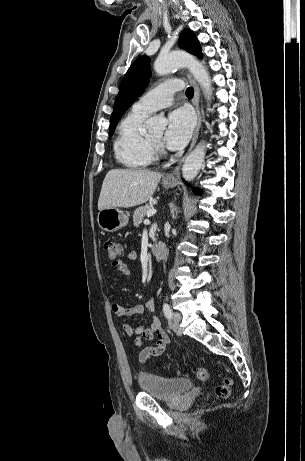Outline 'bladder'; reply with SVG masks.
Returning a JSON list of instances; mask_svg holds the SVG:
<instances>
[{
    "label": "bladder",
    "mask_w": 305,
    "mask_h": 461,
    "mask_svg": "<svg viewBox=\"0 0 305 461\" xmlns=\"http://www.w3.org/2000/svg\"><path fill=\"white\" fill-rule=\"evenodd\" d=\"M137 381L142 392L168 401L177 400L192 388L189 379L170 378L157 374H141Z\"/></svg>",
    "instance_id": "obj_1"
}]
</instances>
